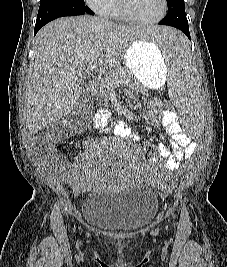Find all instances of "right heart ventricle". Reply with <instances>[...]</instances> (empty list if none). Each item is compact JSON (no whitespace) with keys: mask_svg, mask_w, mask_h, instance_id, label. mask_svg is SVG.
Here are the masks:
<instances>
[{"mask_svg":"<svg viewBox=\"0 0 227 267\" xmlns=\"http://www.w3.org/2000/svg\"><path fill=\"white\" fill-rule=\"evenodd\" d=\"M108 16L113 18L121 19L122 16L118 10L117 0H115L114 5L112 6L111 10L108 13Z\"/></svg>","mask_w":227,"mask_h":267,"instance_id":"e07e8e85","label":"right heart ventricle"}]
</instances>
